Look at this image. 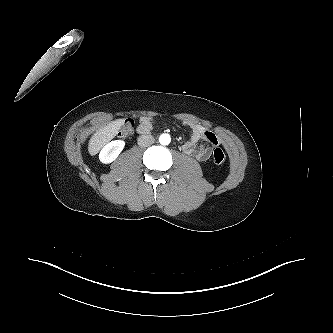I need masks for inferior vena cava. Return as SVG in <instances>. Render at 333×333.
Returning a JSON list of instances; mask_svg holds the SVG:
<instances>
[{
	"label": "inferior vena cava",
	"mask_w": 333,
	"mask_h": 333,
	"mask_svg": "<svg viewBox=\"0 0 333 333\" xmlns=\"http://www.w3.org/2000/svg\"><path fill=\"white\" fill-rule=\"evenodd\" d=\"M155 142V139L151 135H141L138 138V145L140 147H148Z\"/></svg>",
	"instance_id": "602c4592"
}]
</instances>
